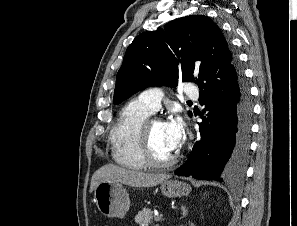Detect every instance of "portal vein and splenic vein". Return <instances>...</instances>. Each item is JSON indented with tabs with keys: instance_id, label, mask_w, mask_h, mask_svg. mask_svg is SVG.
<instances>
[{
	"instance_id": "portal-vein-and-splenic-vein-1",
	"label": "portal vein and splenic vein",
	"mask_w": 297,
	"mask_h": 226,
	"mask_svg": "<svg viewBox=\"0 0 297 226\" xmlns=\"http://www.w3.org/2000/svg\"><path fill=\"white\" fill-rule=\"evenodd\" d=\"M163 217V214L157 215L155 217V221H159Z\"/></svg>"
}]
</instances>
